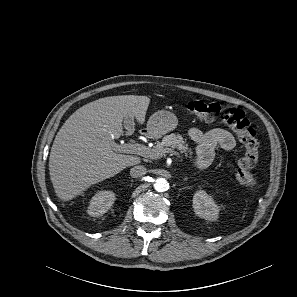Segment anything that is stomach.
Masks as SVG:
<instances>
[{"label": "stomach", "mask_w": 297, "mask_h": 297, "mask_svg": "<svg viewBox=\"0 0 297 297\" xmlns=\"http://www.w3.org/2000/svg\"><path fill=\"white\" fill-rule=\"evenodd\" d=\"M178 120L176 116L166 110L154 113L147 122V133L151 138H159L174 130Z\"/></svg>", "instance_id": "1"}]
</instances>
